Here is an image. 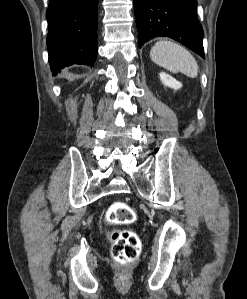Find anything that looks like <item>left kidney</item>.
Here are the masks:
<instances>
[{"label":"left kidney","mask_w":247,"mask_h":299,"mask_svg":"<svg viewBox=\"0 0 247 299\" xmlns=\"http://www.w3.org/2000/svg\"><path fill=\"white\" fill-rule=\"evenodd\" d=\"M159 77L164 86H167L175 90L180 89L182 87V84L179 81H177L175 78H173L171 75L165 72H160Z\"/></svg>","instance_id":"left-kidney-1"}]
</instances>
